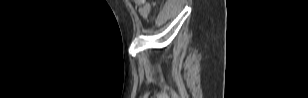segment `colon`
Returning <instances> with one entry per match:
<instances>
[{"label": "colon", "instance_id": "obj_1", "mask_svg": "<svg viewBox=\"0 0 308 98\" xmlns=\"http://www.w3.org/2000/svg\"><path fill=\"white\" fill-rule=\"evenodd\" d=\"M139 13L145 19H150L152 16V6L146 0H135L134 1Z\"/></svg>", "mask_w": 308, "mask_h": 98}]
</instances>
